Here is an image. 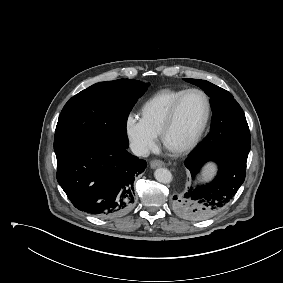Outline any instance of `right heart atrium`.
<instances>
[{
    "mask_svg": "<svg viewBox=\"0 0 283 283\" xmlns=\"http://www.w3.org/2000/svg\"><path fill=\"white\" fill-rule=\"evenodd\" d=\"M125 133L132 151L137 155H145L156 143V135L150 132L140 118L133 114L126 117Z\"/></svg>",
    "mask_w": 283,
    "mask_h": 283,
    "instance_id": "d8ad5b80",
    "label": "right heart atrium"
}]
</instances>
